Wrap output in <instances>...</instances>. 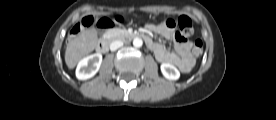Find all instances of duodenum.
Returning <instances> with one entry per match:
<instances>
[{
    "label": "duodenum",
    "instance_id": "410a0bca",
    "mask_svg": "<svg viewBox=\"0 0 276 120\" xmlns=\"http://www.w3.org/2000/svg\"><path fill=\"white\" fill-rule=\"evenodd\" d=\"M132 38H141L143 39L147 44H150V39L148 38V36H146L145 34L141 33V34H132L131 35ZM117 39V37H113L112 39H105V40H101L97 43L96 48L100 53H106L109 50L110 47V43L111 40H115Z\"/></svg>",
    "mask_w": 276,
    "mask_h": 120
}]
</instances>
